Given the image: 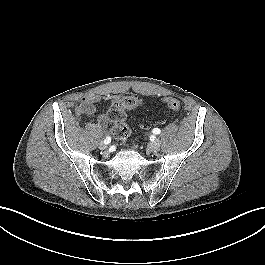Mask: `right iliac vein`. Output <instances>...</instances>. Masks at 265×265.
Segmentation results:
<instances>
[{
    "instance_id": "right-iliac-vein-1",
    "label": "right iliac vein",
    "mask_w": 265,
    "mask_h": 265,
    "mask_svg": "<svg viewBox=\"0 0 265 265\" xmlns=\"http://www.w3.org/2000/svg\"><path fill=\"white\" fill-rule=\"evenodd\" d=\"M98 147H99V149H101V150H106V149L108 148V145L105 144V143H103V142H100V143L98 144Z\"/></svg>"
}]
</instances>
